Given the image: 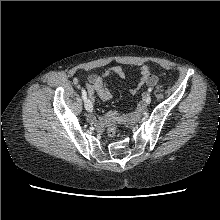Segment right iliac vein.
<instances>
[{"instance_id": "1", "label": "right iliac vein", "mask_w": 220, "mask_h": 220, "mask_svg": "<svg viewBox=\"0 0 220 220\" xmlns=\"http://www.w3.org/2000/svg\"><path fill=\"white\" fill-rule=\"evenodd\" d=\"M85 108L89 112L93 110L92 102L89 99L85 102Z\"/></svg>"}]
</instances>
